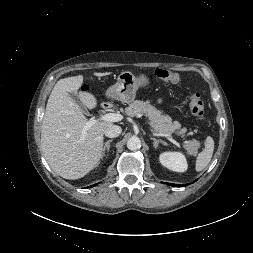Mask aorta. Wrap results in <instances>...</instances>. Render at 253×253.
Returning <instances> with one entry per match:
<instances>
[{"instance_id":"aorta-1","label":"aorta","mask_w":253,"mask_h":253,"mask_svg":"<svg viewBox=\"0 0 253 253\" xmlns=\"http://www.w3.org/2000/svg\"><path fill=\"white\" fill-rule=\"evenodd\" d=\"M141 147V140L138 137H131L127 141V148L129 150L135 151Z\"/></svg>"}]
</instances>
